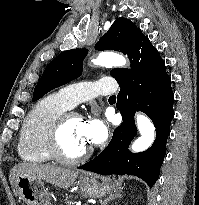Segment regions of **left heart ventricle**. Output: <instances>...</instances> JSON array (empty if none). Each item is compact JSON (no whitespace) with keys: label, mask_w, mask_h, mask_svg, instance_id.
Listing matches in <instances>:
<instances>
[{"label":"left heart ventricle","mask_w":199,"mask_h":205,"mask_svg":"<svg viewBox=\"0 0 199 205\" xmlns=\"http://www.w3.org/2000/svg\"><path fill=\"white\" fill-rule=\"evenodd\" d=\"M82 120L70 118L61 135V149L68 156H75L88 147V142L82 135Z\"/></svg>","instance_id":"left-heart-ventricle-1"}]
</instances>
